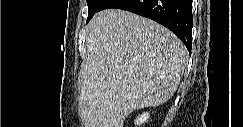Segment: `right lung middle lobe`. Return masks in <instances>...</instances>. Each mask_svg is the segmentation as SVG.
<instances>
[{"label": "right lung middle lobe", "instance_id": "dd1d6c3e", "mask_svg": "<svg viewBox=\"0 0 243 127\" xmlns=\"http://www.w3.org/2000/svg\"><path fill=\"white\" fill-rule=\"evenodd\" d=\"M106 0H87L88 5V18L86 23L90 21L93 15L99 11L101 6L104 4Z\"/></svg>", "mask_w": 243, "mask_h": 127}]
</instances>
